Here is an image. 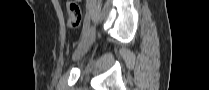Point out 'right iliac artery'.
<instances>
[{"mask_svg": "<svg viewBox=\"0 0 209 90\" xmlns=\"http://www.w3.org/2000/svg\"><path fill=\"white\" fill-rule=\"evenodd\" d=\"M89 26H90V19H89V16L86 15L84 19V23H83V29H82V34H81L79 44L82 42L83 38L86 36L89 30Z\"/></svg>", "mask_w": 209, "mask_h": 90, "instance_id": "right-iliac-artery-1", "label": "right iliac artery"}]
</instances>
